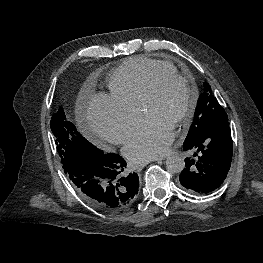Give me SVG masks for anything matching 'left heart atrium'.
Returning <instances> with one entry per match:
<instances>
[{
  "mask_svg": "<svg viewBox=\"0 0 263 263\" xmlns=\"http://www.w3.org/2000/svg\"><path fill=\"white\" fill-rule=\"evenodd\" d=\"M174 131L158 118L148 117L129 138L124 154L134 163L163 156L173 142Z\"/></svg>",
  "mask_w": 263,
  "mask_h": 263,
  "instance_id": "39dd6f15",
  "label": "left heart atrium"
}]
</instances>
